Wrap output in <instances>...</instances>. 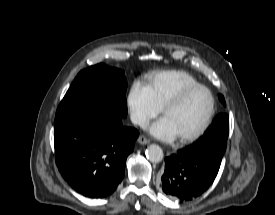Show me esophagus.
I'll return each instance as SVG.
<instances>
[{
	"mask_svg": "<svg viewBox=\"0 0 275 215\" xmlns=\"http://www.w3.org/2000/svg\"><path fill=\"white\" fill-rule=\"evenodd\" d=\"M138 143L139 144H141V145H146V144H148L150 141H149V139L148 138H146L144 135H140L139 137H138Z\"/></svg>",
	"mask_w": 275,
	"mask_h": 215,
	"instance_id": "34e87169",
	"label": "esophagus"
}]
</instances>
